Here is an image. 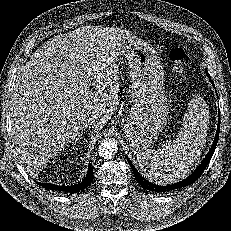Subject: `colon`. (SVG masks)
<instances>
[{
	"label": "colon",
	"mask_w": 231,
	"mask_h": 231,
	"mask_svg": "<svg viewBox=\"0 0 231 231\" xmlns=\"http://www.w3.org/2000/svg\"><path fill=\"white\" fill-rule=\"evenodd\" d=\"M169 59L174 64L176 74L179 77H184L185 66L188 61L187 52L181 47H174L169 52Z\"/></svg>",
	"instance_id": "1"
}]
</instances>
